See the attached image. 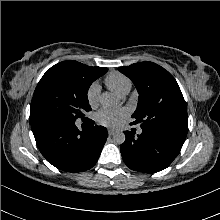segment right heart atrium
<instances>
[{
    "instance_id": "obj_1",
    "label": "right heart atrium",
    "mask_w": 220,
    "mask_h": 220,
    "mask_svg": "<svg viewBox=\"0 0 220 220\" xmlns=\"http://www.w3.org/2000/svg\"><path fill=\"white\" fill-rule=\"evenodd\" d=\"M100 95V86L98 83H92L86 93L88 104L94 108L98 105Z\"/></svg>"
}]
</instances>
